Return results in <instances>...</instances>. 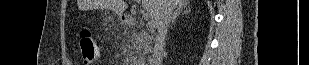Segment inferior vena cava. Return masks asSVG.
I'll use <instances>...</instances> for the list:
<instances>
[{
	"label": "inferior vena cava",
	"instance_id": "inferior-vena-cava-1",
	"mask_svg": "<svg viewBox=\"0 0 309 65\" xmlns=\"http://www.w3.org/2000/svg\"><path fill=\"white\" fill-rule=\"evenodd\" d=\"M171 19H172V9L167 8L160 16V19L158 20V23L156 25L157 34L154 41L155 45L153 55L150 60V65H162L165 38Z\"/></svg>",
	"mask_w": 309,
	"mask_h": 65
}]
</instances>
